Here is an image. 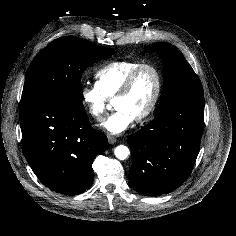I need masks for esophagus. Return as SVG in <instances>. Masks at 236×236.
I'll return each mask as SVG.
<instances>
[{"label":"esophagus","mask_w":236,"mask_h":236,"mask_svg":"<svg viewBox=\"0 0 236 236\" xmlns=\"http://www.w3.org/2000/svg\"><path fill=\"white\" fill-rule=\"evenodd\" d=\"M117 139L114 136L109 135L108 136V142L109 144H114L116 143Z\"/></svg>","instance_id":"esophagus-1"}]
</instances>
